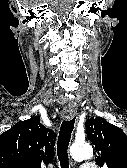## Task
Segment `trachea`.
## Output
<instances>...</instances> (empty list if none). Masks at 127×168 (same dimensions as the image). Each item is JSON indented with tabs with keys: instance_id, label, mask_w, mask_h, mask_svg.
<instances>
[{
	"instance_id": "obj_1",
	"label": "trachea",
	"mask_w": 127,
	"mask_h": 168,
	"mask_svg": "<svg viewBox=\"0 0 127 168\" xmlns=\"http://www.w3.org/2000/svg\"><path fill=\"white\" fill-rule=\"evenodd\" d=\"M75 117L69 121H64L61 125L58 141H57V155L61 168H69L68 161V145L71 134L74 129Z\"/></svg>"
}]
</instances>
